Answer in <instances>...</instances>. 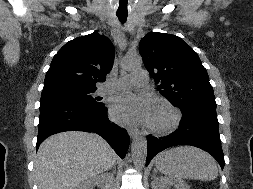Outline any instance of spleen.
Here are the masks:
<instances>
[{
	"label": "spleen",
	"instance_id": "1",
	"mask_svg": "<svg viewBox=\"0 0 253 189\" xmlns=\"http://www.w3.org/2000/svg\"><path fill=\"white\" fill-rule=\"evenodd\" d=\"M156 167L171 179L213 180L218 176L214 158L193 146H178L160 153Z\"/></svg>",
	"mask_w": 253,
	"mask_h": 189
}]
</instances>
